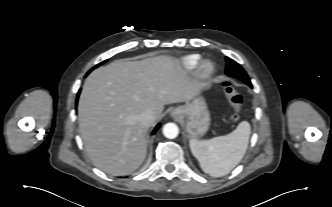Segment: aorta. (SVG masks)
<instances>
[{
	"label": "aorta",
	"mask_w": 332,
	"mask_h": 207,
	"mask_svg": "<svg viewBox=\"0 0 332 207\" xmlns=\"http://www.w3.org/2000/svg\"><path fill=\"white\" fill-rule=\"evenodd\" d=\"M179 129L174 123H167L163 127V134L166 138L174 139L178 136Z\"/></svg>",
	"instance_id": "762f6f07"
}]
</instances>
